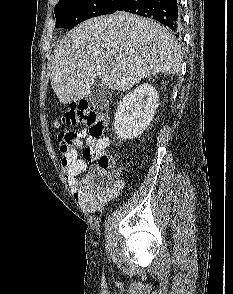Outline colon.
<instances>
[{"label":"colon","mask_w":233,"mask_h":294,"mask_svg":"<svg viewBox=\"0 0 233 294\" xmlns=\"http://www.w3.org/2000/svg\"><path fill=\"white\" fill-rule=\"evenodd\" d=\"M62 123L66 125H83L89 129L93 138L102 135L105 128V120L93 111H90L85 103H74L62 116ZM73 132L62 131L57 135V144L62 158H65L72 147ZM96 163L82 181L85 191L107 189L114 181L117 167L113 159L100 153L95 157Z\"/></svg>","instance_id":"1"}]
</instances>
